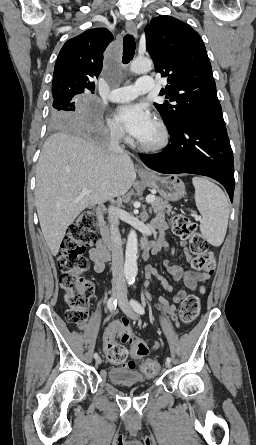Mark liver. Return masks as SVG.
Returning a JSON list of instances; mask_svg holds the SVG:
<instances>
[{
    "label": "liver",
    "mask_w": 256,
    "mask_h": 445,
    "mask_svg": "<svg viewBox=\"0 0 256 445\" xmlns=\"http://www.w3.org/2000/svg\"><path fill=\"white\" fill-rule=\"evenodd\" d=\"M136 172L124 152H107L88 137L55 133L45 141L36 168V209L45 241L56 256L67 228L88 206L123 196ZM91 193L81 196L82 190Z\"/></svg>",
    "instance_id": "6515ba94"
}]
</instances>
